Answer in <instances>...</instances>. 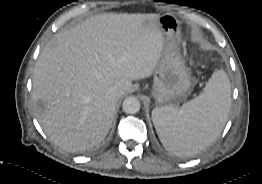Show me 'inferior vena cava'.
I'll return each instance as SVG.
<instances>
[{
  "label": "inferior vena cava",
  "mask_w": 262,
  "mask_h": 184,
  "mask_svg": "<svg viewBox=\"0 0 262 184\" xmlns=\"http://www.w3.org/2000/svg\"><path fill=\"white\" fill-rule=\"evenodd\" d=\"M106 98L112 102H116L119 98V93L118 90L114 87H111L110 89H108V91L106 92Z\"/></svg>",
  "instance_id": "1"
}]
</instances>
